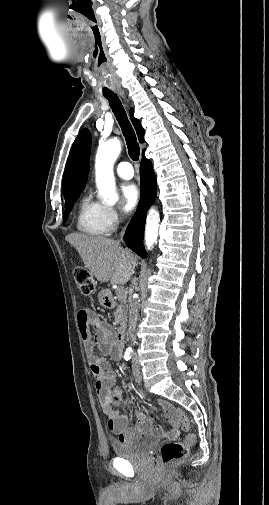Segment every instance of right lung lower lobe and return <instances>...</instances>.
Wrapping results in <instances>:
<instances>
[{
	"mask_svg": "<svg viewBox=\"0 0 269 505\" xmlns=\"http://www.w3.org/2000/svg\"><path fill=\"white\" fill-rule=\"evenodd\" d=\"M141 199L138 210L131 219L124 236V241L135 253L146 258V252L142 246L146 212L156 199V176L152 162L142 158L140 165Z\"/></svg>",
	"mask_w": 269,
	"mask_h": 505,
	"instance_id": "obj_1",
	"label": "right lung lower lobe"
}]
</instances>
